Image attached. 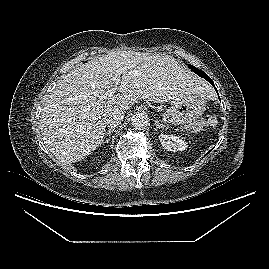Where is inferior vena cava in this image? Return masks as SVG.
<instances>
[{"mask_svg": "<svg viewBox=\"0 0 269 269\" xmlns=\"http://www.w3.org/2000/svg\"><path fill=\"white\" fill-rule=\"evenodd\" d=\"M123 118H124V111L116 109L111 111L107 115V117L105 118V122L109 127L114 128L121 123Z\"/></svg>", "mask_w": 269, "mask_h": 269, "instance_id": "1", "label": "inferior vena cava"}]
</instances>
